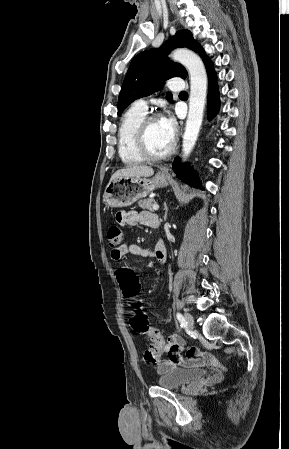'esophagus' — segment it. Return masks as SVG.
I'll list each match as a JSON object with an SVG mask.
<instances>
[{
	"mask_svg": "<svg viewBox=\"0 0 289 449\" xmlns=\"http://www.w3.org/2000/svg\"><path fill=\"white\" fill-rule=\"evenodd\" d=\"M168 171V169H165V172H167Z\"/></svg>",
	"mask_w": 289,
	"mask_h": 449,
	"instance_id": "obj_1",
	"label": "esophagus"
}]
</instances>
